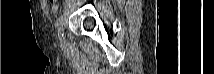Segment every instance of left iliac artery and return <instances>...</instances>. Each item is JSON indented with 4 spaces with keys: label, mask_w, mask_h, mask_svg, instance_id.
Wrapping results in <instances>:
<instances>
[{
    "label": "left iliac artery",
    "mask_w": 214,
    "mask_h": 74,
    "mask_svg": "<svg viewBox=\"0 0 214 74\" xmlns=\"http://www.w3.org/2000/svg\"><path fill=\"white\" fill-rule=\"evenodd\" d=\"M62 19H63V15H61L57 18V20L55 21V27H59V25L62 22Z\"/></svg>",
    "instance_id": "1"
}]
</instances>
